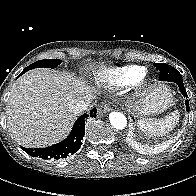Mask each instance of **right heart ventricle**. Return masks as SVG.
Here are the masks:
<instances>
[{
  "label": "right heart ventricle",
  "mask_w": 196,
  "mask_h": 196,
  "mask_svg": "<svg viewBox=\"0 0 196 196\" xmlns=\"http://www.w3.org/2000/svg\"><path fill=\"white\" fill-rule=\"evenodd\" d=\"M145 72V67L139 65L104 68L95 73L94 79L98 84L121 88L135 84Z\"/></svg>",
  "instance_id": "1"
}]
</instances>
